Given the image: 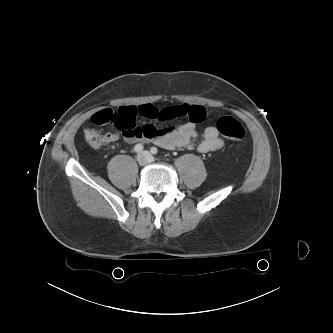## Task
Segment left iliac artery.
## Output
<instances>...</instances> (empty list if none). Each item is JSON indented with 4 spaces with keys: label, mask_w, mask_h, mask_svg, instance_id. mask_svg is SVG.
I'll use <instances>...</instances> for the list:
<instances>
[{
    "label": "left iliac artery",
    "mask_w": 333,
    "mask_h": 333,
    "mask_svg": "<svg viewBox=\"0 0 333 333\" xmlns=\"http://www.w3.org/2000/svg\"><path fill=\"white\" fill-rule=\"evenodd\" d=\"M150 152H151L152 154L156 155V154L158 153V149H157L156 147H152V148L150 149Z\"/></svg>",
    "instance_id": "left-iliac-artery-1"
}]
</instances>
